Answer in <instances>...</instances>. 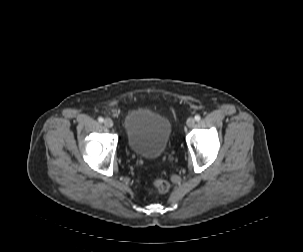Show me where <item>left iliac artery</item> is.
Returning <instances> with one entry per match:
<instances>
[{
  "mask_svg": "<svg viewBox=\"0 0 303 252\" xmlns=\"http://www.w3.org/2000/svg\"><path fill=\"white\" fill-rule=\"evenodd\" d=\"M201 119V116L199 114L195 115V120L199 121Z\"/></svg>",
  "mask_w": 303,
  "mask_h": 252,
  "instance_id": "obj_1",
  "label": "left iliac artery"
}]
</instances>
